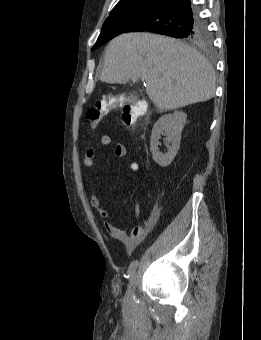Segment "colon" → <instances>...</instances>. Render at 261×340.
I'll return each mask as SVG.
<instances>
[{"instance_id":"1","label":"colon","mask_w":261,"mask_h":340,"mask_svg":"<svg viewBox=\"0 0 261 340\" xmlns=\"http://www.w3.org/2000/svg\"><path fill=\"white\" fill-rule=\"evenodd\" d=\"M115 106V100L105 99L96 102L86 112V118L95 128L104 116ZM146 113V104L142 101L132 102L123 107L122 119L128 127L133 126ZM136 168V167H135Z\"/></svg>"}]
</instances>
